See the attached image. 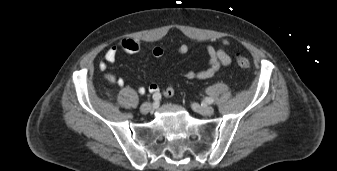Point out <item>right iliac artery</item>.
I'll list each match as a JSON object with an SVG mask.
<instances>
[{"instance_id": "obj_1", "label": "right iliac artery", "mask_w": 337, "mask_h": 171, "mask_svg": "<svg viewBox=\"0 0 337 171\" xmlns=\"http://www.w3.org/2000/svg\"><path fill=\"white\" fill-rule=\"evenodd\" d=\"M160 98H161V95L159 93H156V94L153 95V100L154 101H159Z\"/></svg>"}]
</instances>
